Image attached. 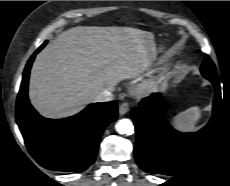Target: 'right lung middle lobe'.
<instances>
[{
    "instance_id": "obj_1",
    "label": "right lung middle lobe",
    "mask_w": 230,
    "mask_h": 186,
    "mask_svg": "<svg viewBox=\"0 0 230 186\" xmlns=\"http://www.w3.org/2000/svg\"><path fill=\"white\" fill-rule=\"evenodd\" d=\"M46 43H47V42H45V43L40 47V49H42V48L46 45Z\"/></svg>"
}]
</instances>
